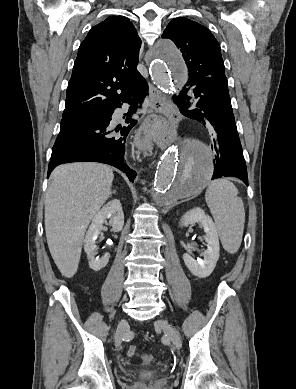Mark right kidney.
I'll return each instance as SVG.
<instances>
[{
  "instance_id": "ca27d5eb",
  "label": "right kidney",
  "mask_w": 296,
  "mask_h": 389,
  "mask_svg": "<svg viewBox=\"0 0 296 389\" xmlns=\"http://www.w3.org/2000/svg\"><path fill=\"white\" fill-rule=\"evenodd\" d=\"M109 219L114 232H120L124 225V214L119 200L113 199L109 201L102 209L94 216L91 225L84 239V250L89 260V267L94 271H99L104 268L110 258V254L106 253L102 258L95 257L96 239L103 230V224Z\"/></svg>"
}]
</instances>
